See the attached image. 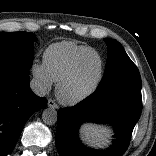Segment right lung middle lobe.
Wrapping results in <instances>:
<instances>
[{
	"instance_id": "right-lung-middle-lobe-1",
	"label": "right lung middle lobe",
	"mask_w": 156,
	"mask_h": 156,
	"mask_svg": "<svg viewBox=\"0 0 156 156\" xmlns=\"http://www.w3.org/2000/svg\"><path fill=\"white\" fill-rule=\"evenodd\" d=\"M36 37L29 32H0V64L29 70L33 62V42Z\"/></svg>"
}]
</instances>
